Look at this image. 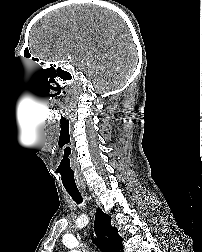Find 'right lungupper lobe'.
Wrapping results in <instances>:
<instances>
[{
	"label": "right lung upper lobe",
	"instance_id": "cb5924a9",
	"mask_svg": "<svg viewBox=\"0 0 202 252\" xmlns=\"http://www.w3.org/2000/svg\"><path fill=\"white\" fill-rule=\"evenodd\" d=\"M94 229L97 235V245L103 252H123L122 237L116 227L111 226V217L101 209H97Z\"/></svg>",
	"mask_w": 202,
	"mask_h": 252
}]
</instances>
